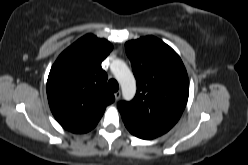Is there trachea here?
I'll return each instance as SVG.
<instances>
[{"label":"trachea","mask_w":248,"mask_h":165,"mask_svg":"<svg viewBox=\"0 0 248 165\" xmlns=\"http://www.w3.org/2000/svg\"><path fill=\"white\" fill-rule=\"evenodd\" d=\"M108 89L112 92H116L119 89V84L116 80L111 79L108 81Z\"/></svg>","instance_id":"1"}]
</instances>
